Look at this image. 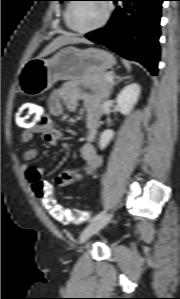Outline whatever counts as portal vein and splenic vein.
Returning a JSON list of instances; mask_svg holds the SVG:
<instances>
[{
  "label": "portal vein and splenic vein",
  "instance_id": "1",
  "mask_svg": "<svg viewBox=\"0 0 180 299\" xmlns=\"http://www.w3.org/2000/svg\"><path fill=\"white\" fill-rule=\"evenodd\" d=\"M107 80H108L109 82H112V81H113V76H112V74H109V75L107 76Z\"/></svg>",
  "mask_w": 180,
  "mask_h": 299
}]
</instances>
